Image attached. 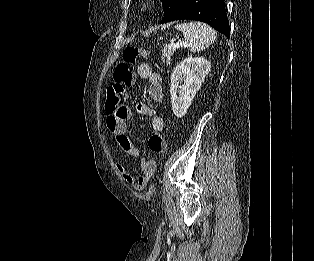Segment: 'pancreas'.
<instances>
[{
  "instance_id": "cf45deb5",
  "label": "pancreas",
  "mask_w": 314,
  "mask_h": 261,
  "mask_svg": "<svg viewBox=\"0 0 314 261\" xmlns=\"http://www.w3.org/2000/svg\"><path fill=\"white\" fill-rule=\"evenodd\" d=\"M173 53H174V49L169 48V45L166 44L164 46L163 53L161 56L162 62L165 63L166 65H169L171 61V56L173 55Z\"/></svg>"
}]
</instances>
